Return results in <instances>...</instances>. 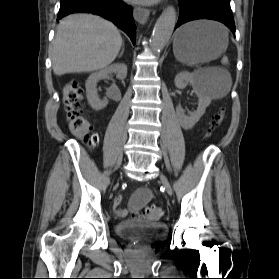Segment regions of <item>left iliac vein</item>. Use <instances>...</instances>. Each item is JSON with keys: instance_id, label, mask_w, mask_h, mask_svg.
I'll return each mask as SVG.
<instances>
[{"instance_id": "left-iliac-vein-1", "label": "left iliac vein", "mask_w": 279, "mask_h": 279, "mask_svg": "<svg viewBox=\"0 0 279 279\" xmlns=\"http://www.w3.org/2000/svg\"><path fill=\"white\" fill-rule=\"evenodd\" d=\"M159 177H160L161 183H162L163 187L165 188L166 192L169 195H172L173 190H172V187H171L168 179L166 178V176L164 174L160 173Z\"/></svg>"}]
</instances>
